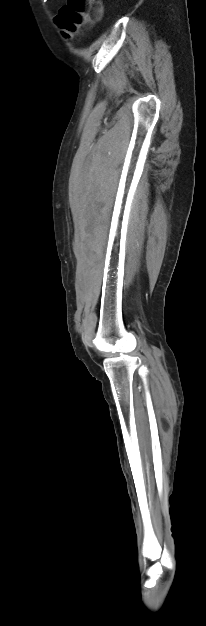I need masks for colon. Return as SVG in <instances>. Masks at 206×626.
<instances>
[{
  "label": "colon",
  "mask_w": 206,
  "mask_h": 626,
  "mask_svg": "<svg viewBox=\"0 0 206 626\" xmlns=\"http://www.w3.org/2000/svg\"><path fill=\"white\" fill-rule=\"evenodd\" d=\"M97 0H67L56 16V22L67 36L76 34L82 26H90L100 18Z\"/></svg>",
  "instance_id": "1"
}]
</instances>
